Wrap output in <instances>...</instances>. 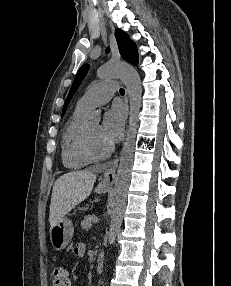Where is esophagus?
<instances>
[{
  "mask_svg": "<svg viewBox=\"0 0 231 286\" xmlns=\"http://www.w3.org/2000/svg\"><path fill=\"white\" fill-rule=\"evenodd\" d=\"M126 103H128V97H126ZM118 161L119 159H116L112 166L104 172L101 180L102 185L112 186L114 184Z\"/></svg>",
  "mask_w": 231,
  "mask_h": 286,
  "instance_id": "esophagus-1",
  "label": "esophagus"
}]
</instances>
